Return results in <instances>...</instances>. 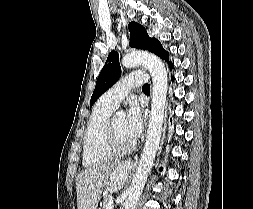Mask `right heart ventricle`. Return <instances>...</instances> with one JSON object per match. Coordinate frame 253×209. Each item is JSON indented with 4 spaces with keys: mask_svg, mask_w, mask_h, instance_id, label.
Masks as SVG:
<instances>
[{
    "mask_svg": "<svg viewBox=\"0 0 253 209\" xmlns=\"http://www.w3.org/2000/svg\"><path fill=\"white\" fill-rule=\"evenodd\" d=\"M113 110V107L105 104L101 99L93 108L83 139L85 167H96L113 158L104 145L105 127Z\"/></svg>",
    "mask_w": 253,
    "mask_h": 209,
    "instance_id": "1",
    "label": "right heart ventricle"
}]
</instances>
